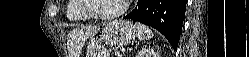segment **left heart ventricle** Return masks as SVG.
<instances>
[{
	"mask_svg": "<svg viewBox=\"0 0 249 57\" xmlns=\"http://www.w3.org/2000/svg\"><path fill=\"white\" fill-rule=\"evenodd\" d=\"M123 0H91L90 11L98 14H110L118 11Z\"/></svg>",
	"mask_w": 249,
	"mask_h": 57,
	"instance_id": "1",
	"label": "left heart ventricle"
}]
</instances>
